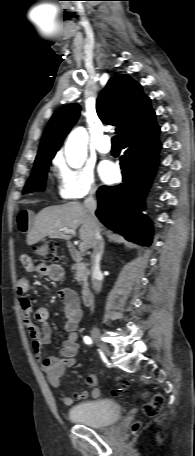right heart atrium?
I'll list each match as a JSON object with an SVG mask.
<instances>
[{"label": "right heart atrium", "instance_id": "obj_1", "mask_svg": "<svg viewBox=\"0 0 195 456\" xmlns=\"http://www.w3.org/2000/svg\"><path fill=\"white\" fill-rule=\"evenodd\" d=\"M55 168L58 178L57 191L61 199L77 200L95 194L97 185L90 168H71L62 159L56 160Z\"/></svg>", "mask_w": 195, "mask_h": 456}]
</instances>
